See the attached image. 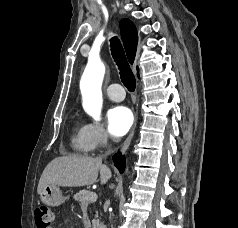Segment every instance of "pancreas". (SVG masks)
I'll return each mask as SVG.
<instances>
[{
  "mask_svg": "<svg viewBox=\"0 0 238 228\" xmlns=\"http://www.w3.org/2000/svg\"><path fill=\"white\" fill-rule=\"evenodd\" d=\"M91 193L92 192L85 189L80 190L78 193L74 195V199L78 201L81 206H87L88 204L96 201V200L86 199ZM98 225H99V219H98V215L96 214L95 219L92 220V226L93 228H98Z\"/></svg>",
  "mask_w": 238,
  "mask_h": 228,
  "instance_id": "cf45deb5",
  "label": "pancreas"
}]
</instances>
